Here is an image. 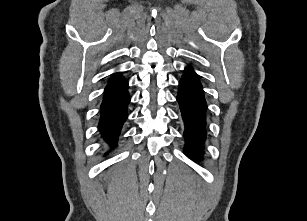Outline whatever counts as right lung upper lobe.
Instances as JSON below:
<instances>
[{
	"label": "right lung upper lobe",
	"mask_w": 307,
	"mask_h": 221,
	"mask_svg": "<svg viewBox=\"0 0 307 221\" xmlns=\"http://www.w3.org/2000/svg\"><path fill=\"white\" fill-rule=\"evenodd\" d=\"M124 78L122 76H120L119 74L114 76L113 79L111 80V82L107 85L106 88L108 87H112V86H115V85H118L122 82H124Z\"/></svg>",
	"instance_id": "1"
}]
</instances>
